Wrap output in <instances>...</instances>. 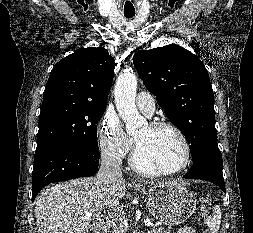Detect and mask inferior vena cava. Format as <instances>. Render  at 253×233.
Here are the masks:
<instances>
[{
    "instance_id": "602c4592",
    "label": "inferior vena cava",
    "mask_w": 253,
    "mask_h": 233,
    "mask_svg": "<svg viewBox=\"0 0 253 233\" xmlns=\"http://www.w3.org/2000/svg\"><path fill=\"white\" fill-rule=\"evenodd\" d=\"M97 180L104 184L108 189L110 185L122 180V171L120 164L117 162L115 156L109 152H103L101 155V165L97 173ZM117 200L113 201V205H117Z\"/></svg>"
}]
</instances>
